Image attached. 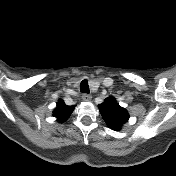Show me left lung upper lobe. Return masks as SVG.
<instances>
[{
    "label": "left lung upper lobe",
    "mask_w": 176,
    "mask_h": 176,
    "mask_svg": "<svg viewBox=\"0 0 176 176\" xmlns=\"http://www.w3.org/2000/svg\"><path fill=\"white\" fill-rule=\"evenodd\" d=\"M99 110L106 124L114 130H120L129 119L127 111L120 107L113 97L106 98L99 105Z\"/></svg>",
    "instance_id": "5c2ea615"
}]
</instances>
